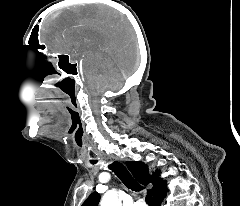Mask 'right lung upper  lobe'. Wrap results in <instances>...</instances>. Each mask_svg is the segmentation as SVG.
<instances>
[{
  "label": "right lung upper lobe",
  "instance_id": "1",
  "mask_svg": "<svg viewBox=\"0 0 240 206\" xmlns=\"http://www.w3.org/2000/svg\"><path fill=\"white\" fill-rule=\"evenodd\" d=\"M126 165L135 179L142 185L152 184L153 198H158L167 192L166 182L163 178H160L157 173L152 175L148 171L146 164L142 162L127 161ZM100 199V195L97 192H93L82 206H97Z\"/></svg>",
  "mask_w": 240,
  "mask_h": 206
}]
</instances>
